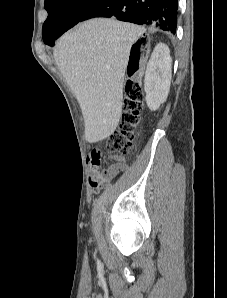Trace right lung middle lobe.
<instances>
[{
  "instance_id": "1",
  "label": "right lung middle lobe",
  "mask_w": 227,
  "mask_h": 298,
  "mask_svg": "<svg viewBox=\"0 0 227 298\" xmlns=\"http://www.w3.org/2000/svg\"><path fill=\"white\" fill-rule=\"evenodd\" d=\"M100 0H45L48 12L42 35L46 43L55 31H67L85 16Z\"/></svg>"
}]
</instances>
